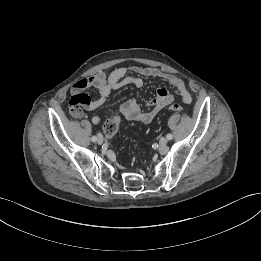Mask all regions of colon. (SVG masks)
Instances as JSON below:
<instances>
[{"mask_svg": "<svg viewBox=\"0 0 261 261\" xmlns=\"http://www.w3.org/2000/svg\"><path fill=\"white\" fill-rule=\"evenodd\" d=\"M168 108L170 111L176 113L181 112L183 110V107L178 103H171ZM119 126H120V118L118 116L108 119L103 126L105 135L108 138H113L117 133Z\"/></svg>", "mask_w": 261, "mask_h": 261, "instance_id": "colon-1", "label": "colon"}]
</instances>
